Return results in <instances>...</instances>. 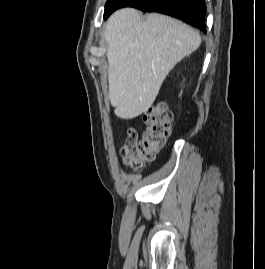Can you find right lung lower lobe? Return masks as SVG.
Listing matches in <instances>:
<instances>
[{
  "mask_svg": "<svg viewBox=\"0 0 265 269\" xmlns=\"http://www.w3.org/2000/svg\"><path fill=\"white\" fill-rule=\"evenodd\" d=\"M122 7H134L145 12L167 14L206 32L204 0H115L104 14V19Z\"/></svg>",
  "mask_w": 265,
  "mask_h": 269,
  "instance_id": "obj_1",
  "label": "right lung lower lobe"
}]
</instances>
